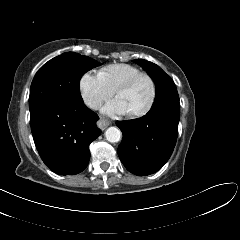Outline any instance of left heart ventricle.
<instances>
[{"label":"left heart ventricle","mask_w":240,"mask_h":240,"mask_svg":"<svg viewBox=\"0 0 240 240\" xmlns=\"http://www.w3.org/2000/svg\"><path fill=\"white\" fill-rule=\"evenodd\" d=\"M151 83L143 77L136 81L129 89L120 92L117 97L121 98L129 112L139 111L146 106L151 96Z\"/></svg>","instance_id":"obj_1"}]
</instances>
